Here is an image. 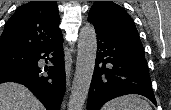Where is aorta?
I'll use <instances>...</instances> for the list:
<instances>
[{"instance_id":"obj_1","label":"aorta","mask_w":171,"mask_h":110,"mask_svg":"<svg viewBox=\"0 0 171 110\" xmlns=\"http://www.w3.org/2000/svg\"><path fill=\"white\" fill-rule=\"evenodd\" d=\"M97 54V38L93 25L85 24L79 33L77 61L68 110H83Z\"/></svg>"}]
</instances>
